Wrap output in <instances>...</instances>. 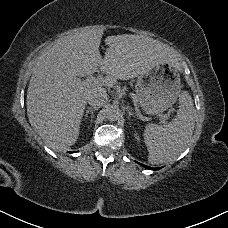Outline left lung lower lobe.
<instances>
[{
  "label": "left lung lower lobe",
  "mask_w": 228,
  "mask_h": 228,
  "mask_svg": "<svg viewBox=\"0 0 228 228\" xmlns=\"http://www.w3.org/2000/svg\"><path fill=\"white\" fill-rule=\"evenodd\" d=\"M143 167H145V168H148V169H151V170H159L160 168H151V167H148V166H146V165H143V164H141Z\"/></svg>",
  "instance_id": "obj_1"
}]
</instances>
